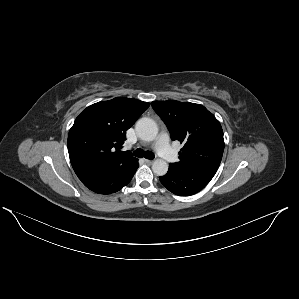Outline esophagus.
<instances>
[{
	"label": "esophagus",
	"mask_w": 299,
	"mask_h": 299,
	"mask_svg": "<svg viewBox=\"0 0 299 299\" xmlns=\"http://www.w3.org/2000/svg\"><path fill=\"white\" fill-rule=\"evenodd\" d=\"M144 161H145V163H147V164H152V163H153V160L145 159Z\"/></svg>",
	"instance_id": "34e87169"
}]
</instances>
